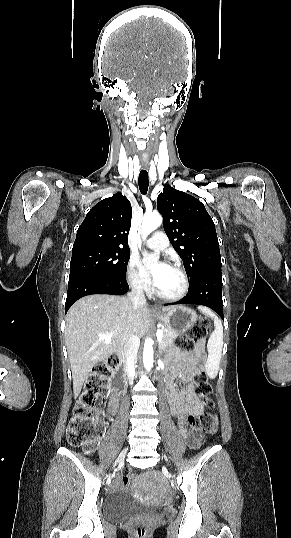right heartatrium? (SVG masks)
Returning <instances> with one entry per match:
<instances>
[{"mask_svg": "<svg viewBox=\"0 0 291 538\" xmlns=\"http://www.w3.org/2000/svg\"><path fill=\"white\" fill-rule=\"evenodd\" d=\"M127 279L131 287L139 292L148 290V282L141 274L137 266V260L131 257L127 267Z\"/></svg>", "mask_w": 291, "mask_h": 538, "instance_id": "right-heart-atrium-1", "label": "right heart atrium"}]
</instances>
